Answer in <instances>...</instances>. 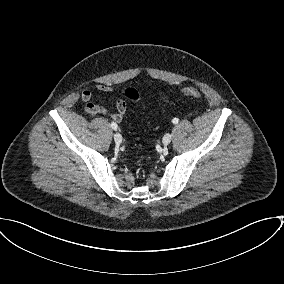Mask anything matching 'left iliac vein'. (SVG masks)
<instances>
[{"label": "left iliac vein", "instance_id": "1", "mask_svg": "<svg viewBox=\"0 0 284 284\" xmlns=\"http://www.w3.org/2000/svg\"><path fill=\"white\" fill-rule=\"evenodd\" d=\"M171 140H172V135L170 133H167L164 135L162 142L165 146H167L171 142Z\"/></svg>", "mask_w": 284, "mask_h": 284}]
</instances>
